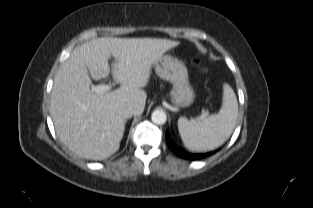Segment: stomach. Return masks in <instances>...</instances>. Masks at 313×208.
<instances>
[{"mask_svg": "<svg viewBox=\"0 0 313 208\" xmlns=\"http://www.w3.org/2000/svg\"><path fill=\"white\" fill-rule=\"evenodd\" d=\"M156 74L169 81L173 87L170 100L176 107H187L193 103L194 91L189 83L186 66L170 55H162L154 64Z\"/></svg>", "mask_w": 313, "mask_h": 208, "instance_id": "0dacf381", "label": "stomach"}]
</instances>
